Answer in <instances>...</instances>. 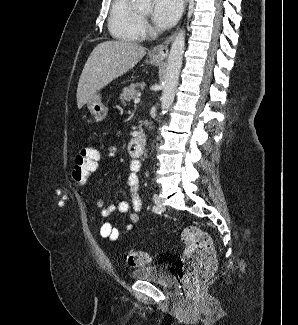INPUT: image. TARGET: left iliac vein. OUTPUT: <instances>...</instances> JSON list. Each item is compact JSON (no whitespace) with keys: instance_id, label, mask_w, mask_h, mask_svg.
<instances>
[{"instance_id":"1","label":"left iliac vein","mask_w":298,"mask_h":325,"mask_svg":"<svg viewBox=\"0 0 298 325\" xmlns=\"http://www.w3.org/2000/svg\"><path fill=\"white\" fill-rule=\"evenodd\" d=\"M153 200L155 202V205L158 208V211L163 212L165 210V207H164V205L162 203L161 198L157 194H154Z\"/></svg>"}]
</instances>
